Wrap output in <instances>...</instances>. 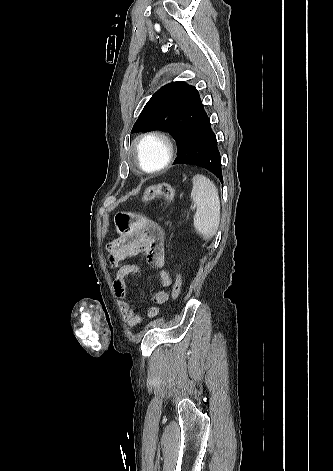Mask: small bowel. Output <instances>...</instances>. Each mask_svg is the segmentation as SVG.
I'll return each instance as SVG.
<instances>
[{
	"label": "small bowel",
	"mask_w": 333,
	"mask_h": 471,
	"mask_svg": "<svg viewBox=\"0 0 333 471\" xmlns=\"http://www.w3.org/2000/svg\"><path fill=\"white\" fill-rule=\"evenodd\" d=\"M115 223L120 235L107 245L109 265L117 269L113 292L123 320L128 326L136 327L146 318L158 316L161 311L159 305L168 301L169 294L164 290L155 292L151 299L155 306L148 309L146 316L136 312L128 296L125 278L139 273L141 268L136 264H126L125 261L139 254L144 255L148 265L160 271L162 286L169 287L172 278L164 269L165 232L157 222L140 215L118 213Z\"/></svg>",
	"instance_id": "obj_1"
}]
</instances>
